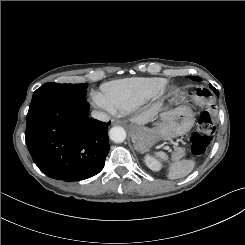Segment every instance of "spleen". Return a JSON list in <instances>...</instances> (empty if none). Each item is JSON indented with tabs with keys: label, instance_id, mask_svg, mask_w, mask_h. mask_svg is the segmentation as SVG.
I'll return each instance as SVG.
<instances>
[{
	"label": "spleen",
	"instance_id": "obj_1",
	"mask_svg": "<svg viewBox=\"0 0 245 245\" xmlns=\"http://www.w3.org/2000/svg\"><path fill=\"white\" fill-rule=\"evenodd\" d=\"M156 157L160 160L168 161V155L164 152H157ZM195 167L193 160H181L170 164L168 178L178 179L187 176Z\"/></svg>",
	"mask_w": 245,
	"mask_h": 245
}]
</instances>
